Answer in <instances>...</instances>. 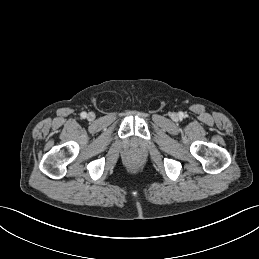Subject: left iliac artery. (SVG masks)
<instances>
[{
    "label": "left iliac artery",
    "instance_id": "left-iliac-artery-1",
    "mask_svg": "<svg viewBox=\"0 0 259 259\" xmlns=\"http://www.w3.org/2000/svg\"><path fill=\"white\" fill-rule=\"evenodd\" d=\"M179 115H180V117H182V116H183V114H182V113H180Z\"/></svg>",
    "mask_w": 259,
    "mask_h": 259
}]
</instances>
